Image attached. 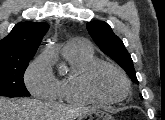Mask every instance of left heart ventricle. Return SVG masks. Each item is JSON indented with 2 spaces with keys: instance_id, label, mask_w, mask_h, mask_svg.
<instances>
[{
  "instance_id": "obj_1",
  "label": "left heart ventricle",
  "mask_w": 165,
  "mask_h": 120,
  "mask_svg": "<svg viewBox=\"0 0 165 120\" xmlns=\"http://www.w3.org/2000/svg\"><path fill=\"white\" fill-rule=\"evenodd\" d=\"M93 85L96 92L104 98H118L125 90L121 76L109 67H103L97 71Z\"/></svg>"
}]
</instances>
